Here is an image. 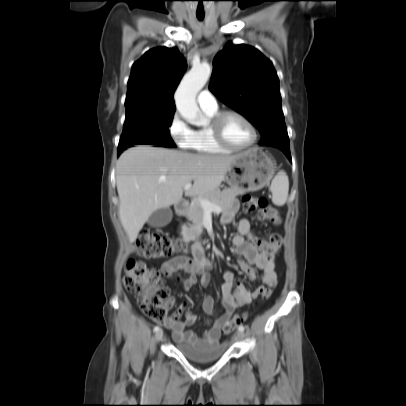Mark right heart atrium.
Wrapping results in <instances>:
<instances>
[{
  "instance_id": "1",
  "label": "right heart atrium",
  "mask_w": 406,
  "mask_h": 406,
  "mask_svg": "<svg viewBox=\"0 0 406 406\" xmlns=\"http://www.w3.org/2000/svg\"><path fill=\"white\" fill-rule=\"evenodd\" d=\"M169 134L179 147L188 148L193 136V129L178 111H175L171 117Z\"/></svg>"
}]
</instances>
